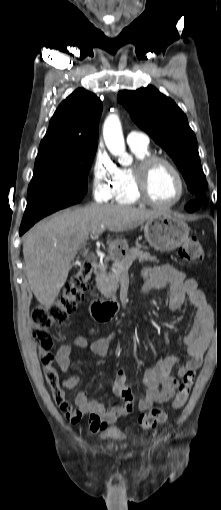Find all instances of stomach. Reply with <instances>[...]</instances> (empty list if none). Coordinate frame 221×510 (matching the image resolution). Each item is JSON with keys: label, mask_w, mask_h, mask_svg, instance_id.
Instances as JSON below:
<instances>
[{"label": "stomach", "mask_w": 221, "mask_h": 510, "mask_svg": "<svg viewBox=\"0 0 221 510\" xmlns=\"http://www.w3.org/2000/svg\"><path fill=\"white\" fill-rule=\"evenodd\" d=\"M189 230L184 220L166 212L147 220L144 225L147 242L160 252H170L180 247L188 239ZM127 250L128 244L125 240H116L112 247L113 257L121 258Z\"/></svg>", "instance_id": "stomach-1"}]
</instances>
